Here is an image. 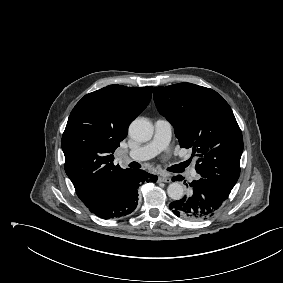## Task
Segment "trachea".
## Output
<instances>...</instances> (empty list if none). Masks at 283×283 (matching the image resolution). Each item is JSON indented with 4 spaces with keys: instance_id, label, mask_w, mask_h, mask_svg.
<instances>
[{
    "instance_id": "obj_1",
    "label": "trachea",
    "mask_w": 283,
    "mask_h": 283,
    "mask_svg": "<svg viewBox=\"0 0 283 283\" xmlns=\"http://www.w3.org/2000/svg\"><path fill=\"white\" fill-rule=\"evenodd\" d=\"M129 166L131 168H136V169L141 167V165L137 162H132V163L129 164Z\"/></svg>"
}]
</instances>
